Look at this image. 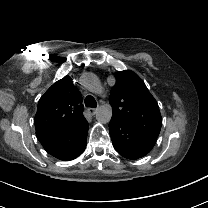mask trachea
<instances>
[{"label":"trachea","instance_id":"obj_1","mask_svg":"<svg viewBox=\"0 0 208 208\" xmlns=\"http://www.w3.org/2000/svg\"><path fill=\"white\" fill-rule=\"evenodd\" d=\"M85 105L87 107H90V108H96L97 107V102L96 100L94 99V97H92L91 95H88L86 98H85Z\"/></svg>","mask_w":208,"mask_h":208}]
</instances>
